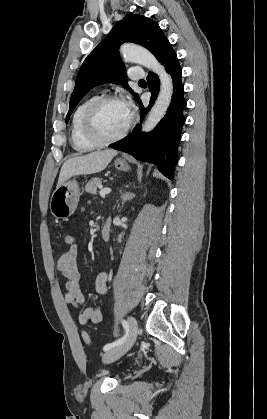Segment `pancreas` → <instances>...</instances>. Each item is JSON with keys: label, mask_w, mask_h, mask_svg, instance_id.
Masks as SVG:
<instances>
[{"label": "pancreas", "mask_w": 267, "mask_h": 419, "mask_svg": "<svg viewBox=\"0 0 267 419\" xmlns=\"http://www.w3.org/2000/svg\"><path fill=\"white\" fill-rule=\"evenodd\" d=\"M100 178H92L85 186V191L91 194H96L97 188L101 186Z\"/></svg>", "instance_id": "cf45deb5"}]
</instances>
